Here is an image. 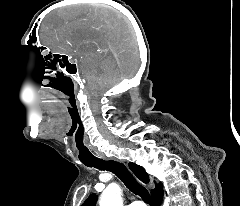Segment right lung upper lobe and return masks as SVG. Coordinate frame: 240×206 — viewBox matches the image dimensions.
I'll return each mask as SVG.
<instances>
[{
  "instance_id": "cb5924a9",
  "label": "right lung upper lobe",
  "mask_w": 240,
  "mask_h": 206,
  "mask_svg": "<svg viewBox=\"0 0 240 206\" xmlns=\"http://www.w3.org/2000/svg\"><path fill=\"white\" fill-rule=\"evenodd\" d=\"M129 168L133 171V173L144 183L149 182V175L145 172L144 168L135 164V163H129ZM163 193V189L161 186L156 185V188L152 190L151 195L152 197ZM97 201L96 194H91L87 200L83 203L82 206H95Z\"/></svg>"
}]
</instances>
